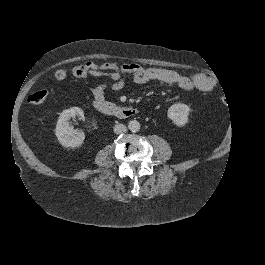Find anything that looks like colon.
Wrapping results in <instances>:
<instances>
[{
    "instance_id": "obj_1",
    "label": "colon",
    "mask_w": 265,
    "mask_h": 265,
    "mask_svg": "<svg viewBox=\"0 0 265 265\" xmlns=\"http://www.w3.org/2000/svg\"><path fill=\"white\" fill-rule=\"evenodd\" d=\"M88 72L87 65H79L72 69V74L76 77H85ZM67 77V72L63 69H59L55 72V78L57 80H64ZM47 97V91L46 90H38L33 93H31L28 96V101L31 104H40L43 101H45Z\"/></svg>"
}]
</instances>
